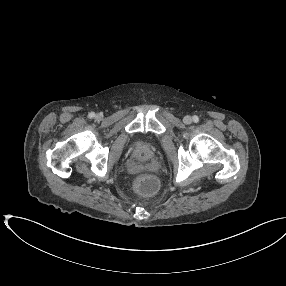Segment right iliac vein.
I'll return each instance as SVG.
<instances>
[{
  "instance_id": "1",
  "label": "right iliac vein",
  "mask_w": 286,
  "mask_h": 286,
  "mask_svg": "<svg viewBox=\"0 0 286 286\" xmlns=\"http://www.w3.org/2000/svg\"><path fill=\"white\" fill-rule=\"evenodd\" d=\"M96 117H97V118H100V115H97Z\"/></svg>"
}]
</instances>
